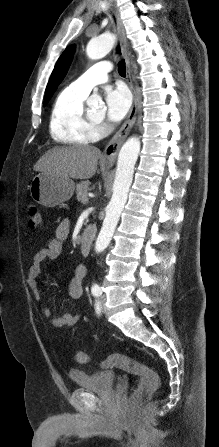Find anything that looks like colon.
Listing matches in <instances>:
<instances>
[{
  "label": "colon",
  "mask_w": 219,
  "mask_h": 447,
  "mask_svg": "<svg viewBox=\"0 0 219 447\" xmlns=\"http://www.w3.org/2000/svg\"><path fill=\"white\" fill-rule=\"evenodd\" d=\"M42 215L37 205L31 204L28 207V225L35 229L41 225ZM75 359L80 364L88 362V356L83 351L75 352ZM104 368L118 367L126 369L140 377L138 387L131 395V402L139 403L150 397L159 387L160 380L158 375L146 366L136 362L130 357L114 353L103 359L101 363Z\"/></svg>",
  "instance_id": "1"
}]
</instances>
